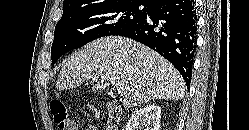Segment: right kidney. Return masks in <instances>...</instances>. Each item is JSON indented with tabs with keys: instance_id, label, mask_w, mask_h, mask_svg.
<instances>
[{
	"instance_id": "right-kidney-1",
	"label": "right kidney",
	"mask_w": 249,
	"mask_h": 130,
	"mask_svg": "<svg viewBox=\"0 0 249 130\" xmlns=\"http://www.w3.org/2000/svg\"><path fill=\"white\" fill-rule=\"evenodd\" d=\"M161 108L150 104L136 110L126 123L125 130H159Z\"/></svg>"
}]
</instances>
